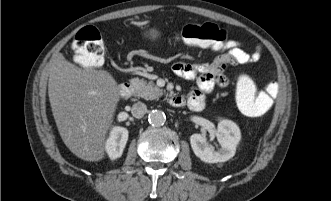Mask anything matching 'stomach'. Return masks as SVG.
I'll return each mask as SVG.
<instances>
[{
  "instance_id": "1",
  "label": "stomach",
  "mask_w": 331,
  "mask_h": 201,
  "mask_svg": "<svg viewBox=\"0 0 331 201\" xmlns=\"http://www.w3.org/2000/svg\"><path fill=\"white\" fill-rule=\"evenodd\" d=\"M143 36L151 40H156L160 36V32L156 28H150L143 33Z\"/></svg>"
}]
</instances>
